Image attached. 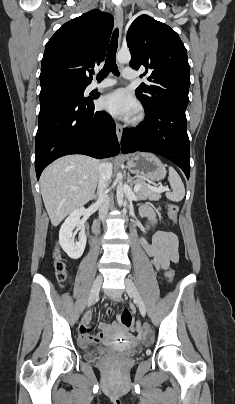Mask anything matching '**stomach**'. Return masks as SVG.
<instances>
[{"mask_svg":"<svg viewBox=\"0 0 235 404\" xmlns=\"http://www.w3.org/2000/svg\"><path fill=\"white\" fill-rule=\"evenodd\" d=\"M128 170L141 179L160 181L166 175L165 165L152 153L140 152L132 154L127 159Z\"/></svg>","mask_w":235,"mask_h":404,"instance_id":"stomach-1","label":"stomach"}]
</instances>
